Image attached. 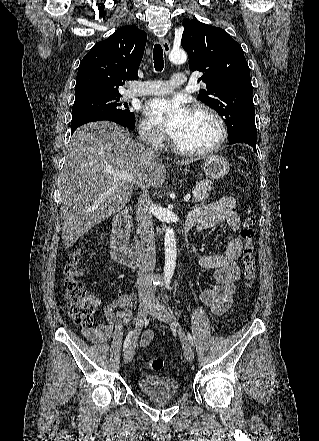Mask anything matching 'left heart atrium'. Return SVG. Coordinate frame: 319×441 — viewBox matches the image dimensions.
<instances>
[{"mask_svg": "<svg viewBox=\"0 0 319 441\" xmlns=\"http://www.w3.org/2000/svg\"><path fill=\"white\" fill-rule=\"evenodd\" d=\"M146 114L172 138L185 122L189 112L178 98H156L145 106Z\"/></svg>", "mask_w": 319, "mask_h": 441, "instance_id": "obj_1", "label": "left heart atrium"}]
</instances>
